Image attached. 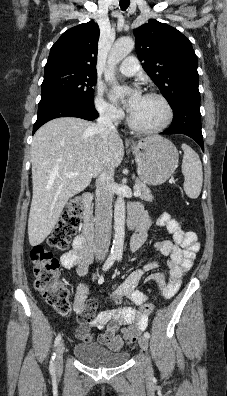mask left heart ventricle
I'll use <instances>...</instances> for the list:
<instances>
[{
  "instance_id": "obj_1",
  "label": "left heart ventricle",
  "mask_w": 227,
  "mask_h": 396,
  "mask_svg": "<svg viewBox=\"0 0 227 396\" xmlns=\"http://www.w3.org/2000/svg\"><path fill=\"white\" fill-rule=\"evenodd\" d=\"M130 114L135 123L142 127H155L161 124L166 116L162 103L156 98L147 96H143Z\"/></svg>"
}]
</instances>
